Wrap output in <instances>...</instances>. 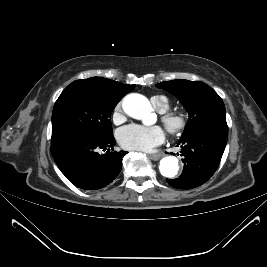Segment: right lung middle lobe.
I'll use <instances>...</instances> for the list:
<instances>
[{"label": "right lung middle lobe", "instance_id": "obj_1", "mask_svg": "<svg viewBox=\"0 0 267 267\" xmlns=\"http://www.w3.org/2000/svg\"><path fill=\"white\" fill-rule=\"evenodd\" d=\"M125 94L94 78L74 81L64 89L54 105L52 141L69 135L111 137V113Z\"/></svg>", "mask_w": 267, "mask_h": 267}]
</instances>
